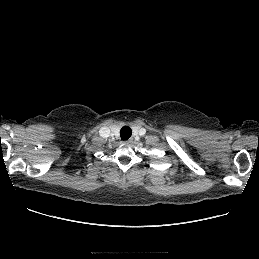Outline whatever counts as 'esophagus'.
I'll use <instances>...</instances> for the list:
<instances>
[{
	"instance_id": "obj_1",
	"label": "esophagus",
	"mask_w": 259,
	"mask_h": 259,
	"mask_svg": "<svg viewBox=\"0 0 259 259\" xmlns=\"http://www.w3.org/2000/svg\"><path fill=\"white\" fill-rule=\"evenodd\" d=\"M126 142L127 143H131L132 142V138L128 139Z\"/></svg>"
}]
</instances>
